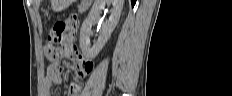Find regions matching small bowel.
Instances as JSON below:
<instances>
[{
	"label": "small bowel",
	"instance_id": "c3829d8e",
	"mask_svg": "<svg viewBox=\"0 0 232 96\" xmlns=\"http://www.w3.org/2000/svg\"><path fill=\"white\" fill-rule=\"evenodd\" d=\"M64 20H67V25L65 26V34L66 39H77L78 35L76 32H80L81 28L79 27L81 15L79 11H69L68 15H64ZM47 47V46H46ZM45 47V48H46ZM67 57H75L79 59L78 64V75L85 76L92 70V63L85 62L82 60V56L78 51H68ZM63 81L62 72L56 68L55 66H50L47 70V74L44 78V91L45 95L50 94L51 86L53 84H61ZM80 87L77 84H73L70 86L68 91V96H79Z\"/></svg>",
	"mask_w": 232,
	"mask_h": 96
}]
</instances>
